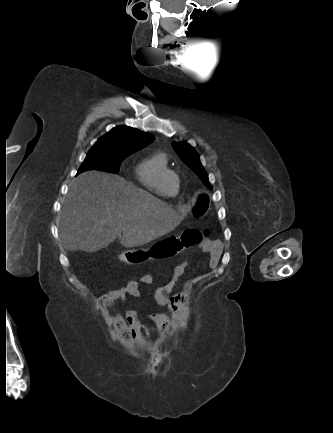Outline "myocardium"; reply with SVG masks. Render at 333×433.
<instances>
[{
  "label": "myocardium",
  "instance_id": "myocardium-1",
  "mask_svg": "<svg viewBox=\"0 0 333 433\" xmlns=\"http://www.w3.org/2000/svg\"><path fill=\"white\" fill-rule=\"evenodd\" d=\"M169 177H174L176 179V183H177V181L179 180V176L175 171L170 169V170L166 171L161 178L162 187H163L165 193L168 195H172L173 193H171L167 188V180Z\"/></svg>",
  "mask_w": 333,
  "mask_h": 433
}]
</instances>
